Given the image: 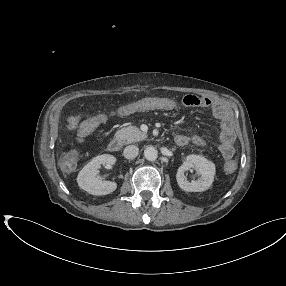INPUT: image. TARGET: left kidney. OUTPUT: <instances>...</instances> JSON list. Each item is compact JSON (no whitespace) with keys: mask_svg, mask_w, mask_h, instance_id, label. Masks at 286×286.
<instances>
[{"mask_svg":"<svg viewBox=\"0 0 286 286\" xmlns=\"http://www.w3.org/2000/svg\"><path fill=\"white\" fill-rule=\"evenodd\" d=\"M195 169L200 177L189 182L184 173L189 169ZM215 175V165L205 157L200 155H189L186 162L177 170L176 179L181 189L187 192H201L207 190L213 183Z\"/></svg>","mask_w":286,"mask_h":286,"instance_id":"5707ae66","label":"left kidney"}]
</instances>
